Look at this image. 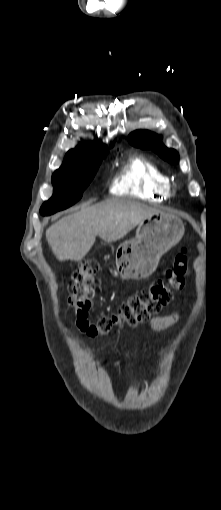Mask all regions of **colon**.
Returning <instances> with one entry per match:
<instances>
[{
	"label": "colon",
	"mask_w": 221,
	"mask_h": 510,
	"mask_svg": "<svg viewBox=\"0 0 221 510\" xmlns=\"http://www.w3.org/2000/svg\"><path fill=\"white\" fill-rule=\"evenodd\" d=\"M100 270L94 259L82 261L73 274L69 304L80 331L90 337L102 336L124 326L135 327L158 314L172 300V291L184 286L188 270V256L183 249L175 256L164 278L154 280L147 288L131 296L116 313L103 316L96 322L88 319L94 296L95 276Z\"/></svg>",
	"instance_id": "1"
}]
</instances>
